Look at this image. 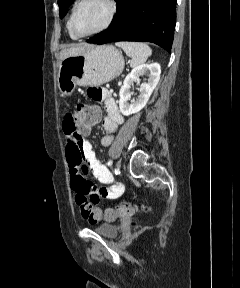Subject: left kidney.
<instances>
[{
	"instance_id": "obj_1",
	"label": "left kidney",
	"mask_w": 240,
	"mask_h": 288,
	"mask_svg": "<svg viewBox=\"0 0 240 288\" xmlns=\"http://www.w3.org/2000/svg\"><path fill=\"white\" fill-rule=\"evenodd\" d=\"M161 74V67L158 63L139 65L132 69V71L126 76L123 85L120 89L119 96V108L124 116L139 112L143 109L148 102L153 90L156 88ZM148 76V80L140 85V94L136 100H131V85L134 83H140V76Z\"/></svg>"
}]
</instances>
